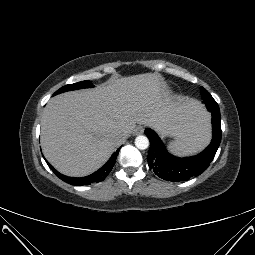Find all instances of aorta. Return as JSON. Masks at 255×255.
<instances>
[{
	"mask_svg": "<svg viewBox=\"0 0 255 255\" xmlns=\"http://www.w3.org/2000/svg\"><path fill=\"white\" fill-rule=\"evenodd\" d=\"M135 146L140 150H145L149 146V139L144 135H139L135 139Z\"/></svg>",
	"mask_w": 255,
	"mask_h": 255,
	"instance_id": "1",
	"label": "aorta"
}]
</instances>
